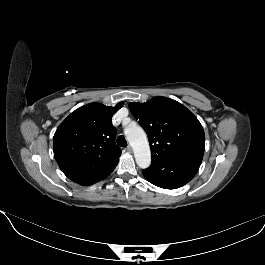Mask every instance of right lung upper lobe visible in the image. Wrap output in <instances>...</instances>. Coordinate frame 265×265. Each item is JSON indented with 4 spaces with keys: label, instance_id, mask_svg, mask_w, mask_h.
I'll list each match as a JSON object with an SVG mask.
<instances>
[{
    "label": "right lung upper lobe",
    "instance_id": "cb5924a9",
    "mask_svg": "<svg viewBox=\"0 0 265 265\" xmlns=\"http://www.w3.org/2000/svg\"><path fill=\"white\" fill-rule=\"evenodd\" d=\"M100 103L82 106L57 128L53 138L55 159L64 174L88 170H113L121 155L115 143L112 115L122 107Z\"/></svg>",
    "mask_w": 265,
    "mask_h": 265
}]
</instances>
